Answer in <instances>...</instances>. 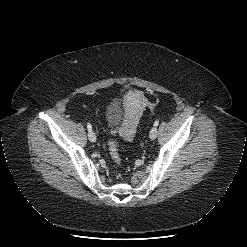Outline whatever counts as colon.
<instances>
[{"instance_id": "colon-1", "label": "colon", "mask_w": 247, "mask_h": 247, "mask_svg": "<svg viewBox=\"0 0 247 247\" xmlns=\"http://www.w3.org/2000/svg\"><path fill=\"white\" fill-rule=\"evenodd\" d=\"M108 146H109V152H110V156L112 160L117 166H121L122 156L119 152V148H118L116 141L114 139H109Z\"/></svg>"}]
</instances>
